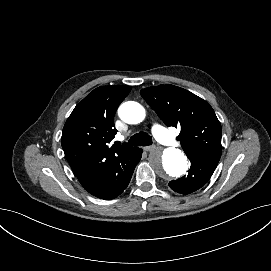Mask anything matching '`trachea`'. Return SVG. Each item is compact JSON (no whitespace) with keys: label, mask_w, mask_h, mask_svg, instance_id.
<instances>
[{"label":"trachea","mask_w":271,"mask_h":271,"mask_svg":"<svg viewBox=\"0 0 271 271\" xmlns=\"http://www.w3.org/2000/svg\"><path fill=\"white\" fill-rule=\"evenodd\" d=\"M129 146H149L152 144V137L146 132L134 134L126 143Z\"/></svg>","instance_id":"obj_1"}]
</instances>
